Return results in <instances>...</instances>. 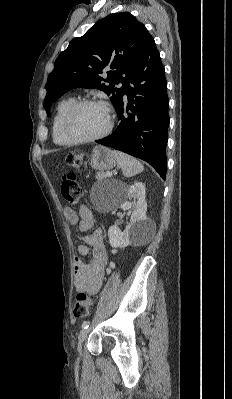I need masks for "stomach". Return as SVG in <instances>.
I'll list each match as a JSON object with an SVG mask.
<instances>
[{"instance_id": "obj_1", "label": "stomach", "mask_w": 232, "mask_h": 399, "mask_svg": "<svg viewBox=\"0 0 232 399\" xmlns=\"http://www.w3.org/2000/svg\"><path fill=\"white\" fill-rule=\"evenodd\" d=\"M117 158L109 148L95 146L91 154L90 166L93 170H112L116 166Z\"/></svg>"}]
</instances>
